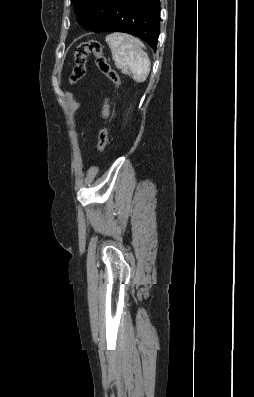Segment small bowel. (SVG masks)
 Returning <instances> with one entry per match:
<instances>
[{"label": "small bowel", "instance_id": "c3829d8e", "mask_svg": "<svg viewBox=\"0 0 254 397\" xmlns=\"http://www.w3.org/2000/svg\"><path fill=\"white\" fill-rule=\"evenodd\" d=\"M102 113H103L104 117H108V115H109V103H108V100H106L105 103H104Z\"/></svg>", "mask_w": 254, "mask_h": 397}]
</instances>
